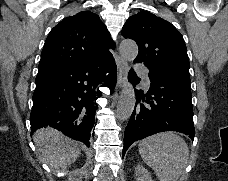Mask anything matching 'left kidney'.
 <instances>
[{"mask_svg":"<svg viewBox=\"0 0 228 181\" xmlns=\"http://www.w3.org/2000/svg\"><path fill=\"white\" fill-rule=\"evenodd\" d=\"M135 175L136 181H153L150 173H148L147 169L142 167V165H137V167H135Z\"/></svg>","mask_w":228,"mask_h":181,"instance_id":"5707ae66","label":"left kidney"}]
</instances>
